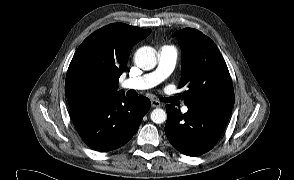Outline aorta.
<instances>
[{
	"instance_id": "obj_1",
	"label": "aorta",
	"mask_w": 294,
	"mask_h": 180,
	"mask_svg": "<svg viewBox=\"0 0 294 180\" xmlns=\"http://www.w3.org/2000/svg\"><path fill=\"white\" fill-rule=\"evenodd\" d=\"M135 64L142 70H151L157 64L156 52L153 48L144 46L139 48L135 53ZM151 120L156 124L163 123L166 118V112L161 108H156L151 112Z\"/></svg>"
}]
</instances>
